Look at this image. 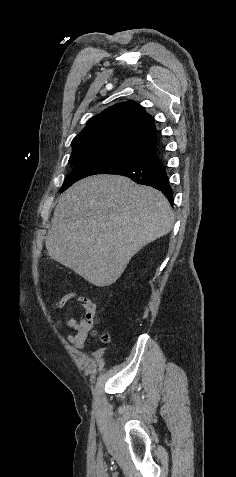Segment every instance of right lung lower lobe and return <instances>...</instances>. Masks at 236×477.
I'll list each match as a JSON object with an SVG mask.
<instances>
[{"label":"right lung lower lobe","instance_id":"obj_1","mask_svg":"<svg viewBox=\"0 0 236 477\" xmlns=\"http://www.w3.org/2000/svg\"><path fill=\"white\" fill-rule=\"evenodd\" d=\"M113 174L129 177L138 184L154 187L160 190L173 204V191L165 167L157 152L128 166H124Z\"/></svg>","mask_w":236,"mask_h":477}]
</instances>
